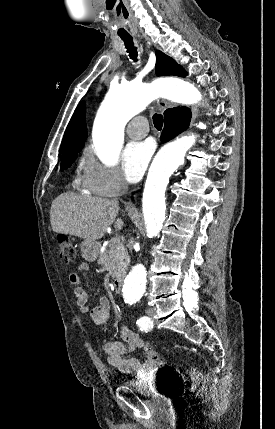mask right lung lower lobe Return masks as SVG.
Instances as JSON below:
<instances>
[{"label":"right lung lower lobe","mask_w":275,"mask_h":429,"mask_svg":"<svg viewBox=\"0 0 275 429\" xmlns=\"http://www.w3.org/2000/svg\"><path fill=\"white\" fill-rule=\"evenodd\" d=\"M165 126L161 135L162 142L169 141L189 126L191 112L186 107L168 109L164 113Z\"/></svg>","instance_id":"1"}]
</instances>
